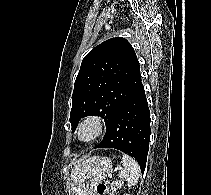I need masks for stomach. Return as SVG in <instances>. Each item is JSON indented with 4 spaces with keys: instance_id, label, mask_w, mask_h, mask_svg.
Returning <instances> with one entry per match:
<instances>
[{
    "instance_id": "stomach-1",
    "label": "stomach",
    "mask_w": 211,
    "mask_h": 195,
    "mask_svg": "<svg viewBox=\"0 0 211 195\" xmlns=\"http://www.w3.org/2000/svg\"><path fill=\"white\" fill-rule=\"evenodd\" d=\"M112 168V161L109 158L94 157L87 165L79 195H94L93 188L106 178Z\"/></svg>"
}]
</instances>
